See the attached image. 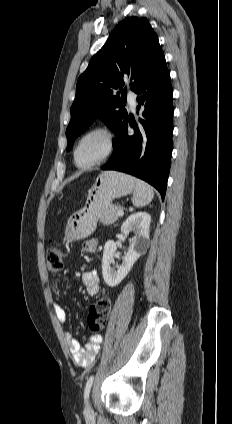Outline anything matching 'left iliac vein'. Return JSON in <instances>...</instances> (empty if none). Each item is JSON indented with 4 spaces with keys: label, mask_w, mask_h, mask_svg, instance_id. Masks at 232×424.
I'll return each mask as SVG.
<instances>
[{
    "label": "left iliac vein",
    "mask_w": 232,
    "mask_h": 424,
    "mask_svg": "<svg viewBox=\"0 0 232 424\" xmlns=\"http://www.w3.org/2000/svg\"><path fill=\"white\" fill-rule=\"evenodd\" d=\"M85 412H86V413H91V412H92V407H91V405H90V403H89V402H88V403H87V405H86Z\"/></svg>",
    "instance_id": "4c4485c4"
}]
</instances>
